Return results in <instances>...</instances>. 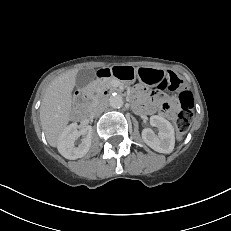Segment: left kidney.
I'll use <instances>...</instances> for the list:
<instances>
[{
  "mask_svg": "<svg viewBox=\"0 0 231 231\" xmlns=\"http://www.w3.org/2000/svg\"><path fill=\"white\" fill-rule=\"evenodd\" d=\"M150 125L157 127L158 136L150 128L142 131V139L153 150L159 153H171L175 145L174 128L165 118L153 115L150 117Z\"/></svg>",
  "mask_w": 231,
  "mask_h": 231,
  "instance_id": "obj_1",
  "label": "left kidney"
}]
</instances>
